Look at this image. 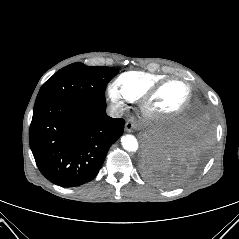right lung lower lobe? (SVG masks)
I'll return each mask as SVG.
<instances>
[{"instance_id":"98d812e1","label":"right lung lower lobe","mask_w":239,"mask_h":239,"mask_svg":"<svg viewBox=\"0 0 239 239\" xmlns=\"http://www.w3.org/2000/svg\"><path fill=\"white\" fill-rule=\"evenodd\" d=\"M106 103L55 100L36 104L29 143L41 173L52 183L74 187L92 180L125 121L113 119Z\"/></svg>"}]
</instances>
